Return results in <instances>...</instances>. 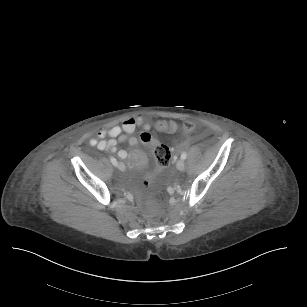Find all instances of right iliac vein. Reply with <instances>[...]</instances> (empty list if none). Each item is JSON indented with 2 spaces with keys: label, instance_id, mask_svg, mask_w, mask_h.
Returning a JSON list of instances; mask_svg holds the SVG:
<instances>
[{
  "label": "right iliac vein",
  "instance_id": "right-iliac-vein-1",
  "mask_svg": "<svg viewBox=\"0 0 307 307\" xmlns=\"http://www.w3.org/2000/svg\"><path fill=\"white\" fill-rule=\"evenodd\" d=\"M117 167H118V169L121 170V171H123V170L125 169V165H124L122 162H119V163L117 164Z\"/></svg>",
  "mask_w": 307,
  "mask_h": 307
}]
</instances>
